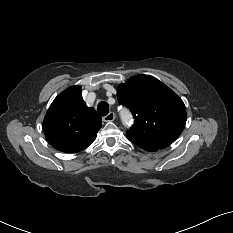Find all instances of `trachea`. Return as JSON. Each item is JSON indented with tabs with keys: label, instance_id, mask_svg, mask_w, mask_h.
I'll return each instance as SVG.
<instances>
[{
	"label": "trachea",
	"instance_id": "1",
	"mask_svg": "<svg viewBox=\"0 0 233 233\" xmlns=\"http://www.w3.org/2000/svg\"><path fill=\"white\" fill-rule=\"evenodd\" d=\"M97 112L101 116H106L109 113V105L107 102H100L97 106Z\"/></svg>",
	"mask_w": 233,
	"mask_h": 233
}]
</instances>
